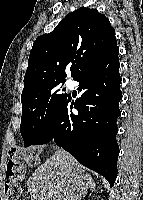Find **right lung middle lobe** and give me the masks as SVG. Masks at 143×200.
<instances>
[{
  "instance_id": "1",
  "label": "right lung middle lobe",
  "mask_w": 143,
  "mask_h": 200,
  "mask_svg": "<svg viewBox=\"0 0 143 200\" xmlns=\"http://www.w3.org/2000/svg\"><path fill=\"white\" fill-rule=\"evenodd\" d=\"M65 80L43 83L22 92L20 133L25 147L32 145L44 126L63 104L68 94L63 93Z\"/></svg>"
}]
</instances>
